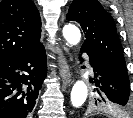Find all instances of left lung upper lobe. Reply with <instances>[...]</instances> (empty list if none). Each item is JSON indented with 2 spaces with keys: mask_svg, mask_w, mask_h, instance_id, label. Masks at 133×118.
<instances>
[{
  "mask_svg": "<svg viewBox=\"0 0 133 118\" xmlns=\"http://www.w3.org/2000/svg\"><path fill=\"white\" fill-rule=\"evenodd\" d=\"M68 21L80 23L85 41L81 49L94 51L127 74L122 45L116 25L97 0H74L67 14ZM104 108H113L104 99H97ZM96 100V104H97Z\"/></svg>",
  "mask_w": 133,
  "mask_h": 118,
  "instance_id": "left-lung-upper-lobe-1",
  "label": "left lung upper lobe"
}]
</instances>
